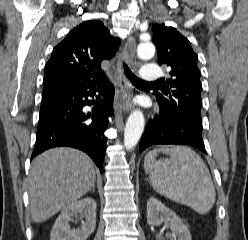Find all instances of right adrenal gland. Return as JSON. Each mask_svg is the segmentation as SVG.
<instances>
[{
	"mask_svg": "<svg viewBox=\"0 0 248 240\" xmlns=\"http://www.w3.org/2000/svg\"><path fill=\"white\" fill-rule=\"evenodd\" d=\"M90 192H95V183L93 184L92 188L90 189Z\"/></svg>",
	"mask_w": 248,
	"mask_h": 240,
	"instance_id": "obj_1",
	"label": "right adrenal gland"
}]
</instances>
